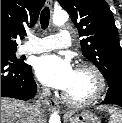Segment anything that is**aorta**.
I'll list each match as a JSON object with an SVG mask.
<instances>
[{
	"mask_svg": "<svg viewBox=\"0 0 122 123\" xmlns=\"http://www.w3.org/2000/svg\"><path fill=\"white\" fill-rule=\"evenodd\" d=\"M68 20V14L65 11L54 12L53 23L57 26L64 24ZM49 123H61L60 116L53 112L50 116Z\"/></svg>",
	"mask_w": 122,
	"mask_h": 123,
	"instance_id": "aorta-1",
	"label": "aorta"
}]
</instances>
